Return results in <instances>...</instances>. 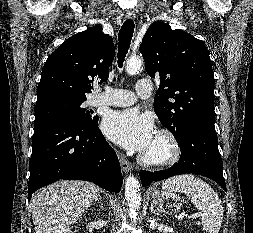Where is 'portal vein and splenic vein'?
Masks as SVG:
<instances>
[{
    "mask_svg": "<svg viewBox=\"0 0 253 233\" xmlns=\"http://www.w3.org/2000/svg\"><path fill=\"white\" fill-rule=\"evenodd\" d=\"M184 216H185V213H181L179 215V218H183ZM200 216H202V214L199 212V213L194 214L193 216H190L189 218L200 217Z\"/></svg>",
    "mask_w": 253,
    "mask_h": 233,
    "instance_id": "1",
    "label": "portal vein and splenic vein"
}]
</instances>
